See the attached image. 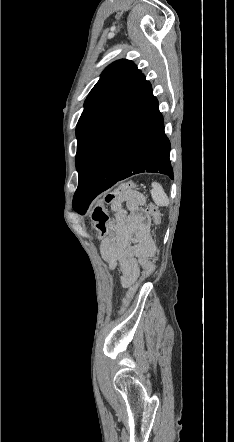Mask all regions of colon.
Returning a JSON list of instances; mask_svg holds the SVG:
<instances>
[{
  "instance_id": "colon-1",
  "label": "colon",
  "mask_w": 234,
  "mask_h": 442,
  "mask_svg": "<svg viewBox=\"0 0 234 442\" xmlns=\"http://www.w3.org/2000/svg\"><path fill=\"white\" fill-rule=\"evenodd\" d=\"M136 184L134 182H125L120 184L114 191L109 192L105 195L102 202L97 204L94 209L91 212V219L94 223V226L100 236H103L106 234L107 231V223H108V214L105 209L104 204H114L117 201L121 200L122 198L129 195L131 192H133L136 189ZM146 214L148 216V226L150 225L151 221L153 223H158L160 218V213L157 209V207L151 203L147 205L146 208ZM146 241L148 242V234L146 235ZM159 266V263L157 261H151L148 260L145 263L143 276L141 278V281L136 284L134 287L131 288V290L128 292L127 296L123 300V306L124 308L128 306L131 298L139 288L141 282L150 276L154 272V268H157Z\"/></svg>"
}]
</instances>
